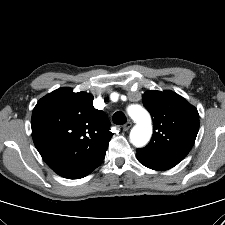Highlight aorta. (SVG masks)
Instances as JSON below:
<instances>
[{"label":"aorta","instance_id":"aorta-1","mask_svg":"<svg viewBox=\"0 0 225 225\" xmlns=\"http://www.w3.org/2000/svg\"><path fill=\"white\" fill-rule=\"evenodd\" d=\"M127 112L136 123L130 132V142L135 147H143L149 142L152 135L150 114L140 105L129 106Z\"/></svg>","mask_w":225,"mask_h":225}]
</instances>
